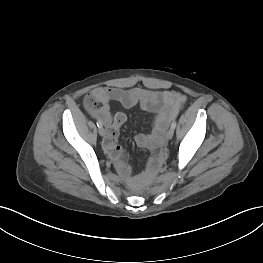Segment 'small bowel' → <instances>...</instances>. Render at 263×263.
<instances>
[{"label": "small bowel", "instance_id": "small-bowel-1", "mask_svg": "<svg viewBox=\"0 0 263 263\" xmlns=\"http://www.w3.org/2000/svg\"><path fill=\"white\" fill-rule=\"evenodd\" d=\"M91 94L104 103V109L96 114L107 129L103 148L114 162L119 174L128 183L133 184L136 178L131 176V168L125 160L124 150L118 144L119 129L126 122L127 116L124 112L112 115L107 103L116 101L126 109L139 105L143 110L154 114L152 133L149 135L139 134L135 141L139 147L155 150L163 145L165 130L169 122L179 113L186 97L178 92L155 91L138 87L132 89L98 87ZM163 157L164 153L161 150L155 159V164Z\"/></svg>", "mask_w": 263, "mask_h": 263}]
</instances>
